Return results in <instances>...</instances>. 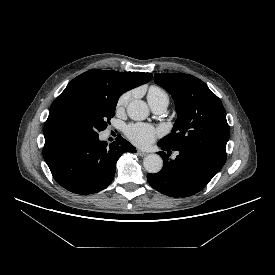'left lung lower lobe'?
Returning a JSON list of instances; mask_svg holds the SVG:
<instances>
[{"mask_svg": "<svg viewBox=\"0 0 275 275\" xmlns=\"http://www.w3.org/2000/svg\"><path fill=\"white\" fill-rule=\"evenodd\" d=\"M158 146L163 150L159 152L163 168L156 174H147V180L154 189L170 197H189L198 193L226 161L194 149L169 147L160 141ZM171 150L179 152L174 160L169 158Z\"/></svg>", "mask_w": 275, "mask_h": 275, "instance_id": "obj_1", "label": "left lung lower lobe"}]
</instances>
